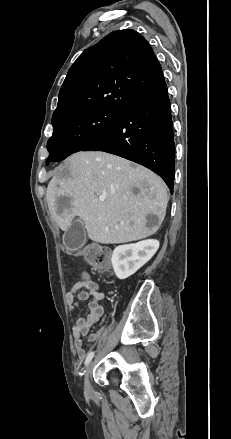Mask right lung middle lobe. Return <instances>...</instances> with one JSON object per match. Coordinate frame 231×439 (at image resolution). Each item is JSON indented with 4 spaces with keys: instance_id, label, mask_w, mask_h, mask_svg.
I'll return each instance as SVG.
<instances>
[{
    "instance_id": "dd1d6c3e",
    "label": "right lung middle lobe",
    "mask_w": 231,
    "mask_h": 439,
    "mask_svg": "<svg viewBox=\"0 0 231 439\" xmlns=\"http://www.w3.org/2000/svg\"><path fill=\"white\" fill-rule=\"evenodd\" d=\"M122 113L94 108L52 119L53 134L47 143L46 165L83 151L116 124Z\"/></svg>"
}]
</instances>
